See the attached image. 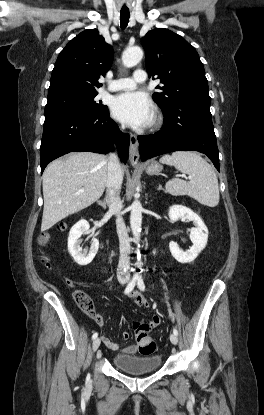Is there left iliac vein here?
Here are the masks:
<instances>
[{
  "label": "left iliac vein",
  "mask_w": 264,
  "mask_h": 415,
  "mask_svg": "<svg viewBox=\"0 0 264 415\" xmlns=\"http://www.w3.org/2000/svg\"><path fill=\"white\" fill-rule=\"evenodd\" d=\"M170 341L172 344L176 345L178 343V337L174 333L170 334Z\"/></svg>",
  "instance_id": "4c4485c4"
}]
</instances>
